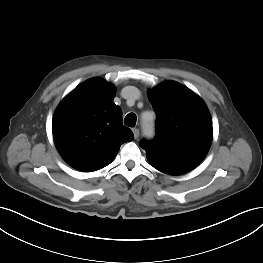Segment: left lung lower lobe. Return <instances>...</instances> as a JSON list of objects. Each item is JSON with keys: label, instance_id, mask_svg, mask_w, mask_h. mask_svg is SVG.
<instances>
[{"label": "left lung lower lobe", "instance_id": "obj_1", "mask_svg": "<svg viewBox=\"0 0 263 263\" xmlns=\"http://www.w3.org/2000/svg\"><path fill=\"white\" fill-rule=\"evenodd\" d=\"M146 157L149 163L154 168H156L157 170L163 173L170 175H179L186 173L198 165L190 162L171 161V160L160 158L150 153H146Z\"/></svg>", "mask_w": 263, "mask_h": 263}]
</instances>
